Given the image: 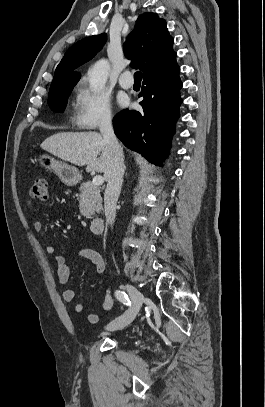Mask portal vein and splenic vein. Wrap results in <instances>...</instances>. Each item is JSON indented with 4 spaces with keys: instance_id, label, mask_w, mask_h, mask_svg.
Wrapping results in <instances>:
<instances>
[{
    "instance_id": "obj_1",
    "label": "portal vein and splenic vein",
    "mask_w": 265,
    "mask_h": 407,
    "mask_svg": "<svg viewBox=\"0 0 265 407\" xmlns=\"http://www.w3.org/2000/svg\"><path fill=\"white\" fill-rule=\"evenodd\" d=\"M104 182L103 177L101 175H96L93 177L92 183L96 186L102 185Z\"/></svg>"
}]
</instances>
